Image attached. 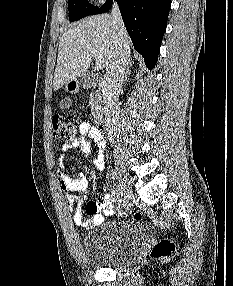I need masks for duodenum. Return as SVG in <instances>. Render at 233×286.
Instances as JSON below:
<instances>
[{
	"instance_id": "1",
	"label": "duodenum",
	"mask_w": 233,
	"mask_h": 286,
	"mask_svg": "<svg viewBox=\"0 0 233 286\" xmlns=\"http://www.w3.org/2000/svg\"><path fill=\"white\" fill-rule=\"evenodd\" d=\"M91 86L96 93L101 94L103 91L104 83L102 80H95L91 83ZM97 126L102 132H108L110 129V121L108 115L103 109L100 110L97 114Z\"/></svg>"
}]
</instances>
